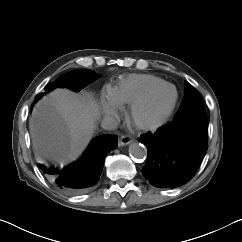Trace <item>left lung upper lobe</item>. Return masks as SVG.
Listing matches in <instances>:
<instances>
[{"mask_svg":"<svg viewBox=\"0 0 242 242\" xmlns=\"http://www.w3.org/2000/svg\"><path fill=\"white\" fill-rule=\"evenodd\" d=\"M184 98L173 122L165 125L171 131L178 130L193 122H207V114L200 93L188 82H184Z\"/></svg>","mask_w":242,"mask_h":242,"instance_id":"left-lung-upper-lobe-1","label":"left lung upper lobe"}]
</instances>
